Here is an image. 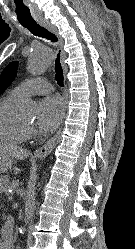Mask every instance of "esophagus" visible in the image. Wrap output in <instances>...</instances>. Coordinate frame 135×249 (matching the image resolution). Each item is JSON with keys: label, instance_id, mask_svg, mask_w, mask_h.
<instances>
[{"label": "esophagus", "instance_id": "esophagus-1", "mask_svg": "<svg viewBox=\"0 0 135 249\" xmlns=\"http://www.w3.org/2000/svg\"><path fill=\"white\" fill-rule=\"evenodd\" d=\"M39 23L42 26H44L46 29H48L50 32H52L53 34H55V36L57 37L58 42H59V48H60V51H61V64H62V67L64 69V74H65V64H64V61H65V58H66V53H65V51L63 49V40H62V38L60 37V35H59L57 29L55 28V26L52 25V23L50 21L42 19V20H39ZM64 79H65V75H64ZM66 109H67V101L65 103V112H64V115L66 114ZM61 130H62V126L57 131V133L48 142H46L42 147H40V148H38V149H36L34 151L33 156L34 157H41V156H47L48 154H50L51 151L53 150V148L56 145V142H57V140L59 138Z\"/></svg>", "mask_w": 135, "mask_h": 249}]
</instances>
